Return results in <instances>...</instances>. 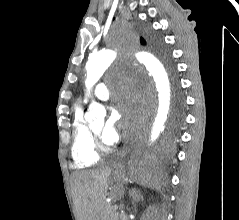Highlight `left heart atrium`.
Returning a JSON list of instances; mask_svg holds the SVG:
<instances>
[{"label": "left heart atrium", "instance_id": "1", "mask_svg": "<svg viewBox=\"0 0 239 220\" xmlns=\"http://www.w3.org/2000/svg\"><path fill=\"white\" fill-rule=\"evenodd\" d=\"M131 103L127 97H118L116 104L112 107L111 113L102 130V138L107 144H114L120 139V130L127 134L135 127L134 118L128 119L126 114L130 113Z\"/></svg>", "mask_w": 239, "mask_h": 220}]
</instances>
